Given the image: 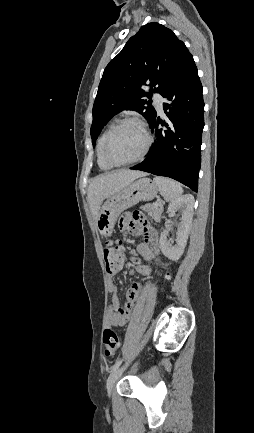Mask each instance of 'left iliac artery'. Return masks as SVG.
<instances>
[{"mask_svg":"<svg viewBox=\"0 0 254 433\" xmlns=\"http://www.w3.org/2000/svg\"><path fill=\"white\" fill-rule=\"evenodd\" d=\"M122 361H123V359L117 360L115 362V364L111 367V372L115 371L120 366V364L122 363Z\"/></svg>","mask_w":254,"mask_h":433,"instance_id":"left-iliac-artery-1","label":"left iliac artery"}]
</instances>
